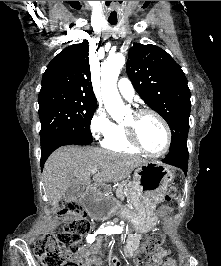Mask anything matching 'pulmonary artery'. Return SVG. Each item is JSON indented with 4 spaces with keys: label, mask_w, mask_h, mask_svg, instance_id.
<instances>
[{
    "label": "pulmonary artery",
    "mask_w": 221,
    "mask_h": 266,
    "mask_svg": "<svg viewBox=\"0 0 221 266\" xmlns=\"http://www.w3.org/2000/svg\"><path fill=\"white\" fill-rule=\"evenodd\" d=\"M118 90L125 99L132 100L134 88L129 79L121 78L118 82Z\"/></svg>",
    "instance_id": "obj_1"
}]
</instances>
